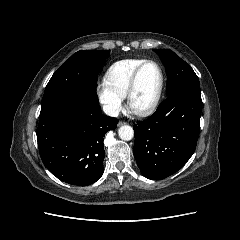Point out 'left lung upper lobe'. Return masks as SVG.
<instances>
[{"label": "left lung upper lobe", "mask_w": 240, "mask_h": 240, "mask_svg": "<svg viewBox=\"0 0 240 240\" xmlns=\"http://www.w3.org/2000/svg\"><path fill=\"white\" fill-rule=\"evenodd\" d=\"M167 72V95L180 90L200 91L199 79L193 69L177 54L168 49H156Z\"/></svg>", "instance_id": "1"}]
</instances>
